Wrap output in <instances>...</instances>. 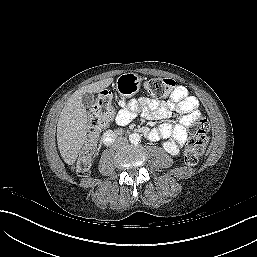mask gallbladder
<instances>
[{
    "mask_svg": "<svg viewBox=\"0 0 257 257\" xmlns=\"http://www.w3.org/2000/svg\"><path fill=\"white\" fill-rule=\"evenodd\" d=\"M95 102L94 95L92 93H84L82 95V103L86 108L93 106Z\"/></svg>",
    "mask_w": 257,
    "mask_h": 257,
    "instance_id": "obj_1",
    "label": "gallbladder"
}]
</instances>
